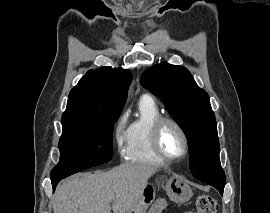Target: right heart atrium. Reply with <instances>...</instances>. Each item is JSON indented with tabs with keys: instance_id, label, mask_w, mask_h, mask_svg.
<instances>
[{
	"instance_id": "d8ad5b80",
	"label": "right heart atrium",
	"mask_w": 270,
	"mask_h": 213,
	"mask_svg": "<svg viewBox=\"0 0 270 213\" xmlns=\"http://www.w3.org/2000/svg\"><path fill=\"white\" fill-rule=\"evenodd\" d=\"M113 142L121 155L124 153L126 143V116L120 115L113 128Z\"/></svg>"
}]
</instances>
